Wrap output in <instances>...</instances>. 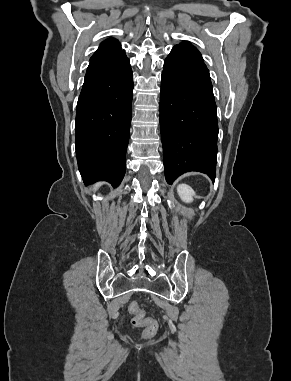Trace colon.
Segmentation results:
<instances>
[{"instance_id": "1", "label": "colon", "mask_w": 291, "mask_h": 381, "mask_svg": "<svg viewBox=\"0 0 291 381\" xmlns=\"http://www.w3.org/2000/svg\"><path fill=\"white\" fill-rule=\"evenodd\" d=\"M128 312L132 315L131 323L136 327H144L147 336L153 335L157 330V323L151 318H147L137 301H131L128 305Z\"/></svg>"}]
</instances>
